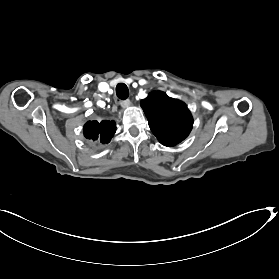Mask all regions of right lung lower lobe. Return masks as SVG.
Masks as SVG:
<instances>
[{"label":"right lung lower lobe","instance_id":"obj_1","mask_svg":"<svg viewBox=\"0 0 279 279\" xmlns=\"http://www.w3.org/2000/svg\"><path fill=\"white\" fill-rule=\"evenodd\" d=\"M84 136L87 139L100 140L102 143H109L116 131V124L114 121H88L84 125Z\"/></svg>","mask_w":279,"mask_h":279}]
</instances>
